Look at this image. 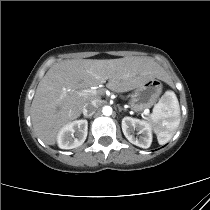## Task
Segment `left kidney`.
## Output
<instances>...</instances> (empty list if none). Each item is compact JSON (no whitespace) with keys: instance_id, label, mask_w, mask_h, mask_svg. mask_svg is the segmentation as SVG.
<instances>
[{"instance_id":"obj_1","label":"left kidney","mask_w":210,"mask_h":210,"mask_svg":"<svg viewBox=\"0 0 210 210\" xmlns=\"http://www.w3.org/2000/svg\"><path fill=\"white\" fill-rule=\"evenodd\" d=\"M135 130L138 131V134H141L139 138L133 135ZM122 131L125 137L132 144L141 148L150 147L152 142V133L148 123L132 117H124L122 119Z\"/></svg>"}]
</instances>
